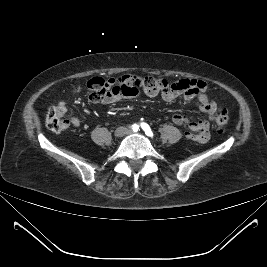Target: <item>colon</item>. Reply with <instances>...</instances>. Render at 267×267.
Wrapping results in <instances>:
<instances>
[{
	"mask_svg": "<svg viewBox=\"0 0 267 267\" xmlns=\"http://www.w3.org/2000/svg\"><path fill=\"white\" fill-rule=\"evenodd\" d=\"M118 83L123 93L130 96H136L140 91L150 94L182 88V84L179 81L170 83L166 79L153 76H124L118 80ZM227 121L228 115L225 110H218L215 113V122L219 130H222ZM46 125L48 129L54 132H60L65 128L62 119L57 116L54 107L49 108L47 112Z\"/></svg>",
	"mask_w": 267,
	"mask_h": 267,
	"instance_id": "colon-1",
	"label": "colon"
}]
</instances>
